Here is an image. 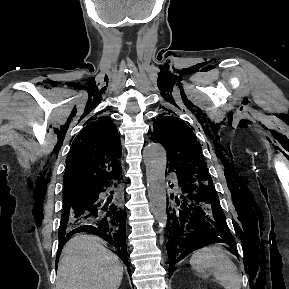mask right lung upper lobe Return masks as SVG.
I'll list each match as a JSON object with an SVG mask.
<instances>
[{
  "mask_svg": "<svg viewBox=\"0 0 289 289\" xmlns=\"http://www.w3.org/2000/svg\"><path fill=\"white\" fill-rule=\"evenodd\" d=\"M121 143L108 117L91 121L74 139L66 158L64 196L85 193L121 174Z\"/></svg>",
  "mask_w": 289,
  "mask_h": 289,
  "instance_id": "right-lung-upper-lobe-1",
  "label": "right lung upper lobe"
}]
</instances>
